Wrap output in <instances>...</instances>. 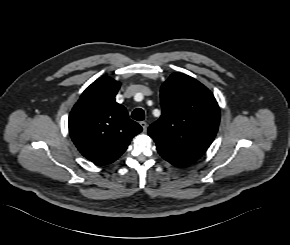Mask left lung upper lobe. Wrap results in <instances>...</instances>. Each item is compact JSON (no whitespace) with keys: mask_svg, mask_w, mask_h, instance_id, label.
I'll return each instance as SVG.
<instances>
[{"mask_svg":"<svg viewBox=\"0 0 290 245\" xmlns=\"http://www.w3.org/2000/svg\"><path fill=\"white\" fill-rule=\"evenodd\" d=\"M162 115L150 125L157 149L174 159L194 163L214 140L220 120L213 94L196 79L173 73L161 88Z\"/></svg>","mask_w":290,"mask_h":245,"instance_id":"obj_1","label":"left lung upper lobe"}]
</instances>
